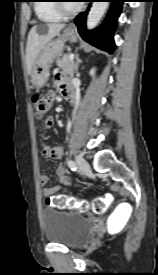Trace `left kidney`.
Segmentation results:
<instances>
[{
    "mask_svg": "<svg viewBox=\"0 0 158 275\" xmlns=\"http://www.w3.org/2000/svg\"><path fill=\"white\" fill-rule=\"evenodd\" d=\"M94 73H95V68H92V69L90 70V75L93 76Z\"/></svg>",
    "mask_w": 158,
    "mask_h": 275,
    "instance_id": "obj_1",
    "label": "left kidney"
}]
</instances>
